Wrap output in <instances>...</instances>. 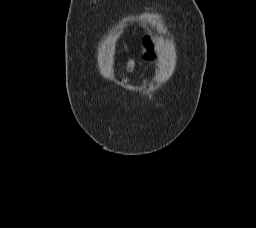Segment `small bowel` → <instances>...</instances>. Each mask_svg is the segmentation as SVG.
<instances>
[{
	"instance_id": "small-bowel-1",
	"label": "small bowel",
	"mask_w": 256,
	"mask_h": 228,
	"mask_svg": "<svg viewBox=\"0 0 256 228\" xmlns=\"http://www.w3.org/2000/svg\"><path fill=\"white\" fill-rule=\"evenodd\" d=\"M142 84H143L144 87H146V85H147V80H146V79H143V80H142Z\"/></svg>"
}]
</instances>
